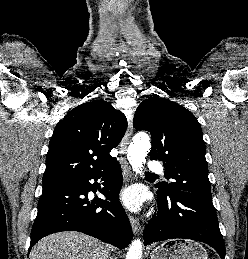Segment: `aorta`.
Segmentation results:
<instances>
[{
  "instance_id": "1",
  "label": "aorta",
  "mask_w": 248,
  "mask_h": 259,
  "mask_svg": "<svg viewBox=\"0 0 248 259\" xmlns=\"http://www.w3.org/2000/svg\"><path fill=\"white\" fill-rule=\"evenodd\" d=\"M150 148V142L145 134H140L130 144L127 157L136 174L142 173L143 163H145V157ZM139 254L140 246L137 243H134L129 250L128 259H138Z\"/></svg>"
}]
</instances>
